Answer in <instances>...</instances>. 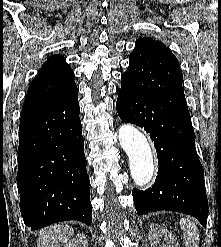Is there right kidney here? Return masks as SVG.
<instances>
[{
  "mask_svg": "<svg viewBox=\"0 0 221 247\" xmlns=\"http://www.w3.org/2000/svg\"><path fill=\"white\" fill-rule=\"evenodd\" d=\"M87 236L85 234H78L67 242L64 247H87Z\"/></svg>",
  "mask_w": 221,
  "mask_h": 247,
  "instance_id": "1",
  "label": "right kidney"
}]
</instances>
